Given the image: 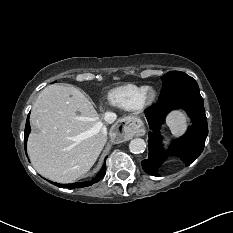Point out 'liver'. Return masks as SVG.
Here are the masks:
<instances>
[{
  "label": "liver",
  "mask_w": 233,
  "mask_h": 233,
  "mask_svg": "<svg viewBox=\"0 0 233 233\" xmlns=\"http://www.w3.org/2000/svg\"><path fill=\"white\" fill-rule=\"evenodd\" d=\"M27 151L35 170L59 183H72L94 165L105 146L103 124L76 87L52 84L35 101Z\"/></svg>",
  "instance_id": "liver-1"
}]
</instances>
